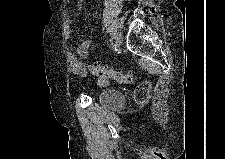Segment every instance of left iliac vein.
Returning a JSON list of instances; mask_svg holds the SVG:
<instances>
[{
  "mask_svg": "<svg viewBox=\"0 0 225 159\" xmlns=\"http://www.w3.org/2000/svg\"><path fill=\"white\" fill-rule=\"evenodd\" d=\"M115 47L119 48L122 43V34L120 32H115L113 35Z\"/></svg>",
  "mask_w": 225,
  "mask_h": 159,
  "instance_id": "4c4485c4",
  "label": "left iliac vein"
}]
</instances>
